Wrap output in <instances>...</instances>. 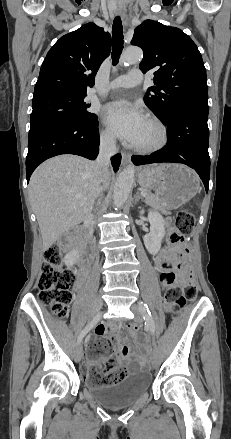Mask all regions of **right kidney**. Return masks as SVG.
<instances>
[{
    "label": "right kidney",
    "instance_id": "ca27d5eb",
    "mask_svg": "<svg viewBox=\"0 0 231 439\" xmlns=\"http://www.w3.org/2000/svg\"><path fill=\"white\" fill-rule=\"evenodd\" d=\"M79 251L76 249H72L64 258V263L67 267H71L75 264V262H77V260L79 259Z\"/></svg>",
    "mask_w": 231,
    "mask_h": 439
}]
</instances>
